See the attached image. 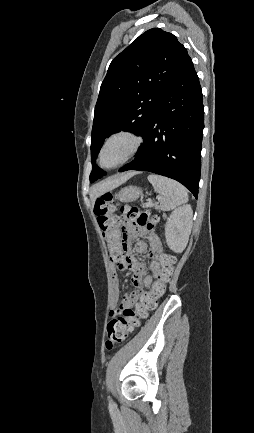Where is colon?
I'll list each match as a JSON object with an SVG mask.
<instances>
[{
  "instance_id": "obj_1",
  "label": "colon",
  "mask_w": 254,
  "mask_h": 433,
  "mask_svg": "<svg viewBox=\"0 0 254 433\" xmlns=\"http://www.w3.org/2000/svg\"><path fill=\"white\" fill-rule=\"evenodd\" d=\"M98 224L102 230L109 256L112 260L121 259L127 250L128 229L156 225L159 218L136 205H126L121 208V216H114L113 195L104 193L98 197L94 205ZM175 257L165 253L160 257L161 267L149 292L141 296L140 303L135 309L128 305L122 306L108 321L106 326V348L112 350L123 343L145 318L148 311L156 307L157 300L165 294L166 286L170 283L175 270Z\"/></svg>"
}]
</instances>
